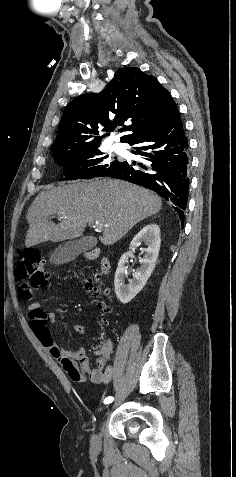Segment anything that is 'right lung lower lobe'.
Returning <instances> with one entry per match:
<instances>
[{
    "label": "right lung lower lobe",
    "instance_id": "right-lung-lower-lobe-1",
    "mask_svg": "<svg viewBox=\"0 0 236 477\" xmlns=\"http://www.w3.org/2000/svg\"><path fill=\"white\" fill-rule=\"evenodd\" d=\"M136 145L135 154L141 155L142 169L123 161L106 176L126 180L158 193L171 201L184 222V210L189 187V150L183 124L177 112L164 127L139 135L128 142Z\"/></svg>",
    "mask_w": 236,
    "mask_h": 477
}]
</instances>
